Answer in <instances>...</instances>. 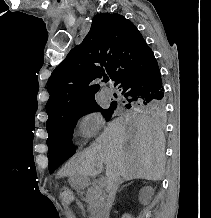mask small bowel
I'll return each instance as SVG.
<instances>
[{"mask_svg": "<svg viewBox=\"0 0 211 218\" xmlns=\"http://www.w3.org/2000/svg\"><path fill=\"white\" fill-rule=\"evenodd\" d=\"M77 205H78L79 207H82V205H81L80 203H77Z\"/></svg>", "mask_w": 211, "mask_h": 218, "instance_id": "small-bowel-1", "label": "small bowel"}]
</instances>
